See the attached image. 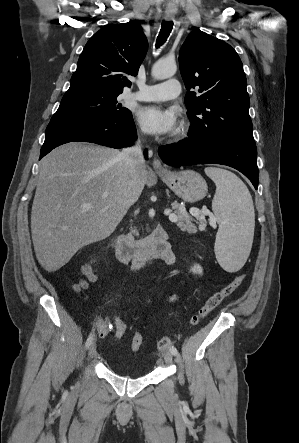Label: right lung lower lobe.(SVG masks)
<instances>
[{
  "label": "right lung lower lobe",
  "mask_w": 299,
  "mask_h": 443,
  "mask_svg": "<svg viewBox=\"0 0 299 443\" xmlns=\"http://www.w3.org/2000/svg\"><path fill=\"white\" fill-rule=\"evenodd\" d=\"M137 138L132 114L123 117L84 118L53 116L46 128L40 158L59 145L82 141L112 148L129 146ZM147 157V152H145Z\"/></svg>",
  "instance_id": "right-lung-lower-lobe-1"
}]
</instances>
